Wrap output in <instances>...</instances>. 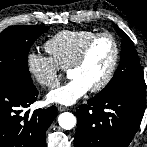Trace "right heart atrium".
Returning a JSON list of instances; mask_svg holds the SVG:
<instances>
[{
  "instance_id": "1",
  "label": "right heart atrium",
  "mask_w": 147,
  "mask_h": 147,
  "mask_svg": "<svg viewBox=\"0 0 147 147\" xmlns=\"http://www.w3.org/2000/svg\"><path fill=\"white\" fill-rule=\"evenodd\" d=\"M25 64L29 76L41 87L51 88L58 83L60 68L51 57L29 51Z\"/></svg>"
}]
</instances>
